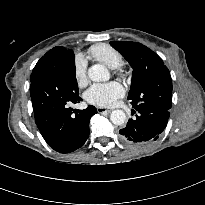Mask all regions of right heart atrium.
Returning <instances> with one entry per match:
<instances>
[{"label":"right heart atrium","mask_w":205,"mask_h":205,"mask_svg":"<svg viewBox=\"0 0 205 205\" xmlns=\"http://www.w3.org/2000/svg\"><path fill=\"white\" fill-rule=\"evenodd\" d=\"M87 60L82 54H76L73 61V75L78 86L83 87L88 83Z\"/></svg>","instance_id":"d8ad5b80"}]
</instances>
